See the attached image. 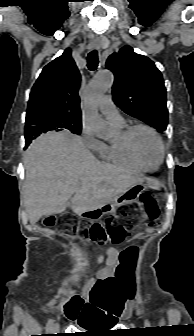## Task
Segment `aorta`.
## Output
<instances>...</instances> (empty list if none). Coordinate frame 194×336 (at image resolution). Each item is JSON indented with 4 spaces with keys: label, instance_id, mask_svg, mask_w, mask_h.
Instances as JSON below:
<instances>
[{
    "label": "aorta",
    "instance_id": "obj_1",
    "mask_svg": "<svg viewBox=\"0 0 194 336\" xmlns=\"http://www.w3.org/2000/svg\"><path fill=\"white\" fill-rule=\"evenodd\" d=\"M113 80V74L109 70L99 72L89 82L84 95V127L106 141L113 137L114 130L106 120L100 117L97 105L100 98L112 87Z\"/></svg>",
    "mask_w": 194,
    "mask_h": 336
}]
</instances>
